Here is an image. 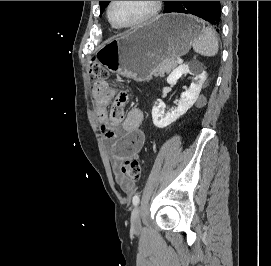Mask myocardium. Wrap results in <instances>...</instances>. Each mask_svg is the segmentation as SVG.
<instances>
[{"instance_id": "obj_1", "label": "myocardium", "mask_w": 271, "mask_h": 266, "mask_svg": "<svg viewBox=\"0 0 271 266\" xmlns=\"http://www.w3.org/2000/svg\"><path fill=\"white\" fill-rule=\"evenodd\" d=\"M114 2L115 1H110L108 4L107 18H108L109 23L116 29H133V28L140 27V26L152 21L157 16V14L160 12V9H161V1H150V5H151L150 10L148 11V13L144 17H142L138 21L131 23V24L119 25L113 21L112 16H111V9H112Z\"/></svg>"}]
</instances>
